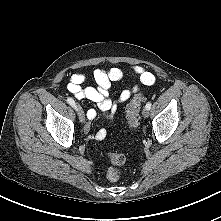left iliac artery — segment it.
<instances>
[{"label": "left iliac artery", "instance_id": "obj_1", "mask_svg": "<svg viewBox=\"0 0 221 221\" xmlns=\"http://www.w3.org/2000/svg\"><path fill=\"white\" fill-rule=\"evenodd\" d=\"M151 105H152L151 102H148L145 107H146L148 110H150V109H151Z\"/></svg>", "mask_w": 221, "mask_h": 221}]
</instances>
